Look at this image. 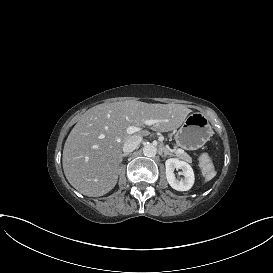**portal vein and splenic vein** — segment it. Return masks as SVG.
<instances>
[{
	"label": "portal vein and splenic vein",
	"mask_w": 273,
	"mask_h": 273,
	"mask_svg": "<svg viewBox=\"0 0 273 273\" xmlns=\"http://www.w3.org/2000/svg\"><path fill=\"white\" fill-rule=\"evenodd\" d=\"M155 123H156V121L153 120V119H151V120H146V121H145V124L148 125V126H151V125H153V124H155ZM140 130H141V129H140L139 127L130 126V127L127 128V133H128V134H133V133L138 132V131H140ZM177 151H178L179 153H182V152H183V149H182V148H179Z\"/></svg>",
	"instance_id": "18ae733b"
}]
</instances>
